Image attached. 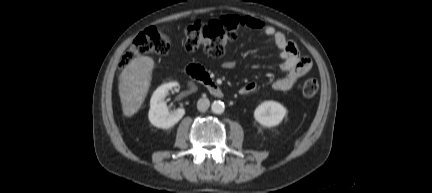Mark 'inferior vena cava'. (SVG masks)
<instances>
[{"label":"inferior vena cava","mask_w":432,"mask_h":193,"mask_svg":"<svg viewBox=\"0 0 432 193\" xmlns=\"http://www.w3.org/2000/svg\"><path fill=\"white\" fill-rule=\"evenodd\" d=\"M210 106V101L207 98H200L197 102V109L200 112H205Z\"/></svg>","instance_id":"1"}]
</instances>
